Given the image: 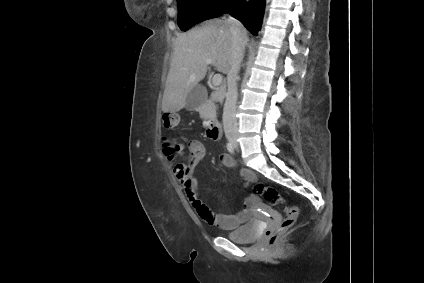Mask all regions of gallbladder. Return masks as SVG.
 Here are the masks:
<instances>
[{
  "label": "gallbladder",
  "mask_w": 424,
  "mask_h": 283,
  "mask_svg": "<svg viewBox=\"0 0 424 283\" xmlns=\"http://www.w3.org/2000/svg\"><path fill=\"white\" fill-rule=\"evenodd\" d=\"M206 96L205 90L201 86L194 87L187 95L186 108L188 110H195L200 106L201 102Z\"/></svg>",
  "instance_id": "bac80fb5"
}]
</instances>
